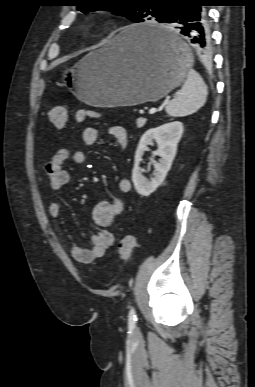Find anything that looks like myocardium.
I'll use <instances>...</instances> for the list:
<instances>
[{"label": "myocardium", "mask_w": 255, "mask_h": 387, "mask_svg": "<svg viewBox=\"0 0 255 387\" xmlns=\"http://www.w3.org/2000/svg\"><path fill=\"white\" fill-rule=\"evenodd\" d=\"M101 25V20L98 17L92 16L87 19V27L89 30H94Z\"/></svg>", "instance_id": "obj_1"}]
</instances>
